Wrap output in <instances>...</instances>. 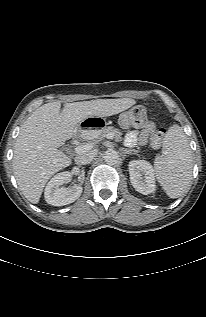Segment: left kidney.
<instances>
[{
	"mask_svg": "<svg viewBox=\"0 0 206 317\" xmlns=\"http://www.w3.org/2000/svg\"><path fill=\"white\" fill-rule=\"evenodd\" d=\"M129 174L132 186L141 194L147 195L156 190L154 170L145 160L129 162Z\"/></svg>",
	"mask_w": 206,
	"mask_h": 317,
	"instance_id": "left-kidney-1",
	"label": "left kidney"
}]
</instances>
